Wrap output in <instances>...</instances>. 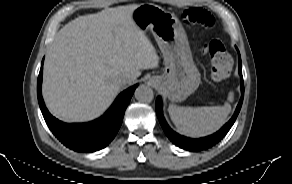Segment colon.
<instances>
[{"label":"colon","mask_w":292,"mask_h":184,"mask_svg":"<svg viewBox=\"0 0 292 184\" xmlns=\"http://www.w3.org/2000/svg\"><path fill=\"white\" fill-rule=\"evenodd\" d=\"M184 18L191 24L212 25L213 18L206 10L190 9L184 13ZM203 51L210 56L213 66L212 79L221 81L226 78L232 68V58L219 41H212L205 45Z\"/></svg>","instance_id":"5ec220e1"}]
</instances>
